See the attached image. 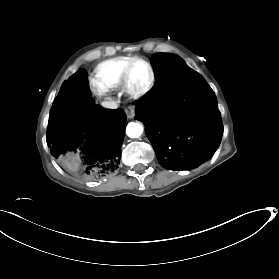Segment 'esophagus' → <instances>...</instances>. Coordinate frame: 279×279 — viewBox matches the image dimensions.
<instances>
[{
    "instance_id": "esophagus-1",
    "label": "esophagus",
    "mask_w": 279,
    "mask_h": 279,
    "mask_svg": "<svg viewBox=\"0 0 279 279\" xmlns=\"http://www.w3.org/2000/svg\"><path fill=\"white\" fill-rule=\"evenodd\" d=\"M128 118H133L135 116V106L131 105L125 110Z\"/></svg>"
}]
</instances>
